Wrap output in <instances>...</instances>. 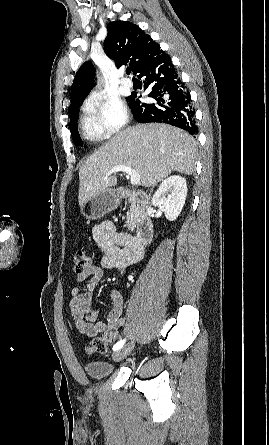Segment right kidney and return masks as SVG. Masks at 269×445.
I'll return each instance as SVG.
<instances>
[{
  "mask_svg": "<svg viewBox=\"0 0 269 445\" xmlns=\"http://www.w3.org/2000/svg\"><path fill=\"white\" fill-rule=\"evenodd\" d=\"M187 196L186 180L178 175L165 179L155 192L152 198L154 206L162 207L165 210V217L176 220L181 213Z\"/></svg>",
  "mask_w": 269,
  "mask_h": 445,
  "instance_id": "ca27d5eb",
  "label": "right kidney"
}]
</instances>
